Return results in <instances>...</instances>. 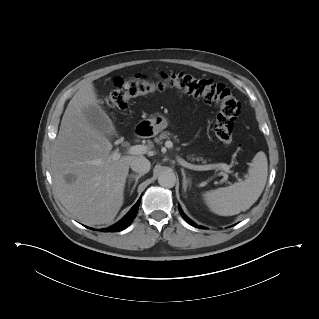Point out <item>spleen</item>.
Listing matches in <instances>:
<instances>
[{
    "label": "spleen",
    "mask_w": 319,
    "mask_h": 319,
    "mask_svg": "<svg viewBox=\"0 0 319 319\" xmlns=\"http://www.w3.org/2000/svg\"><path fill=\"white\" fill-rule=\"evenodd\" d=\"M268 176L267 157L258 152L248 169V178L228 187L218 188L204 194L208 207L221 216H232L248 210L260 197Z\"/></svg>",
    "instance_id": "obj_1"
}]
</instances>
